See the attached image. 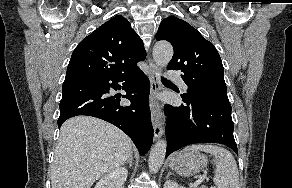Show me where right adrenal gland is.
Here are the masks:
<instances>
[{"label": "right adrenal gland", "instance_id": "right-adrenal-gland-1", "mask_svg": "<svg viewBox=\"0 0 292 188\" xmlns=\"http://www.w3.org/2000/svg\"><path fill=\"white\" fill-rule=\"evenodd\" d=\"M132 161H133V155L131 154L130 157L126 160V162L123 164H129V167H132Z\"/></svg>", "mask_w": 292, "mask_h": 188}]
</instances>
